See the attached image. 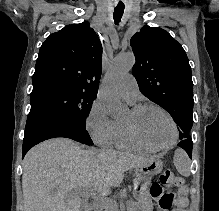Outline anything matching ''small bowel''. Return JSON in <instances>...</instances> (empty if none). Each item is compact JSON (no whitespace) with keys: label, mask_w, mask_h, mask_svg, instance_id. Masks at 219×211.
<instances>
[{"label":"small bowel","mask_w":219,"mask_h":211,"mask_svg":"<svg viewBox=\"0 0 219 211\" xmlns=\"http://www.w3.org/2000/svg\"><path fill=\"white\" fill-rule=\"evenodd\" d=\"M153 198L158 204V211H175L172 210L173 198L170 194L164 193L163 191H155ZM178 211H188L185 208L179 209Z\"/></svg>","instance_id":"1"}]
</instances>
